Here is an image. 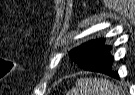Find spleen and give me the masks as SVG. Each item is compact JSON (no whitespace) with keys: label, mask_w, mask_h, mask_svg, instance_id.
I'll use <instances>...</instances> for the list:
<instances>
[{"label":"spleen","mask_w":135,"mask_h":95,"mask_svg":"<svg viewBox=\"0 0 135 95\" xmlns=\"http://www.w3.org/2000/svg\"><path fill=\"white\" fill-rule=\"evenodd\" d=\"M67 95H120V89L106 79L80 78Z\"/></svg>","instance_id":"obj_1"}]
</instances>
